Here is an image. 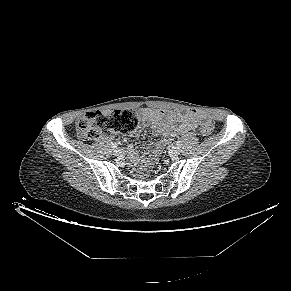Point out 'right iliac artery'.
<instances>
[{
	"label": "right iliac artery",
	"instance_id": "82829eb1",
	"mask_svg": "<svg viewBox=\"0 0 291 291\" xmlns=\"http://www.w3.org/2000/svg\"><path fill=\"white\" fill-rule=\"evenodd\" d=\"M112 147H113V148H117V144H116V143H113V144H112Z\"/></svg>",
	"mask_w": 291,
	"mask_h": 291
}]
</instances>
